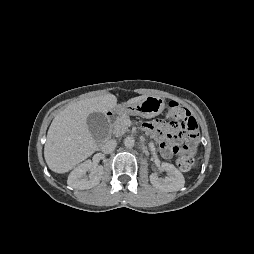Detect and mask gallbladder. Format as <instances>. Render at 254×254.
Returning <instances> with one entry per match:
<instances>
[{
    "instance_id": "bac80fb5",
    "label": "gallbladder",
    "mask_w": 254,
    "mask_h": 254,
    "mask_svg": "<svg viewBox=\"0 0 254 254\" xmlns=\"http://www.w3.org/2000/svg\"><path fill=\"white\" fill-rule=\"evenodd\" d=\"M88 129L95 141H103L109 131V122L105 114L93 112L87 117Z\"/></svg>"
}]
</instances>
